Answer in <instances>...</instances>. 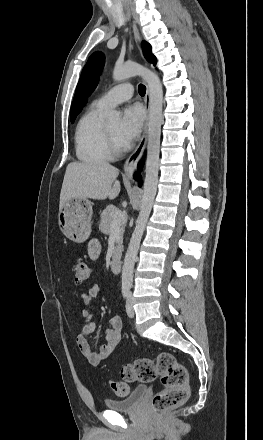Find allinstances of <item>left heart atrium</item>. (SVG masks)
<instances>
[{
  "label": "left heart atrium",
  "mask_w": 263,
  "mask_h": 440,
  "mask_svg": "<svg viewBox=\"0 0 263 440\" xmlns=\"http://www.w3.org/2000/svg\"><path fill=\"white\" fill-rule=\"evenodd\" d=\"M144 120V111L138 105L130 106L123 111L117 130V138L122 146H127L137 139L142 130Z\"/></svg>",
  "instance_id": "1"
}]
</instances>
